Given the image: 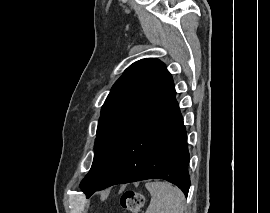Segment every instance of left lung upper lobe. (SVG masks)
I'll return each mask as SVG.
<instances>
[{
    "label": "left lung upper lobe",
    "instance_id": "1",
    "mask_svg": "<svg viewBox=\"0 0 270 213\" xmlns=\"http://www.w3.org/2000/svg\"><path fill=\"white\" fill-rule=\"evenodd\" d=\"M173 91L172 76L154 58L136 61L116 81L101 110L92 167L81 183L87 195L102 181L140 124Z\"/></svg>",
    "mask_w": 270,
    "mask_h": 213
}]
</instances>
